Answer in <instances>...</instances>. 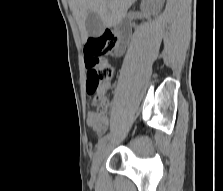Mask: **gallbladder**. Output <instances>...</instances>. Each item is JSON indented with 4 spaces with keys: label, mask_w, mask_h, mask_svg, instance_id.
Segmentation results:
<instances>
[{
    "label": "gallbladder",
    "mask_w": 223,
    "mask_h": 191,
    "mask_svg": "<svg viewBox=\"0 0 223 191\" xmlns=\"http://www.w3.org/2000/svg\"><path fill=\"white\" fill-rule=\"evenodd\" d=\"M85 28L90 37H98L102 34L105 25L98 14L90 12L85 21Z\"/></svg>",
    "instance_id": "1"
}]
</instances>
